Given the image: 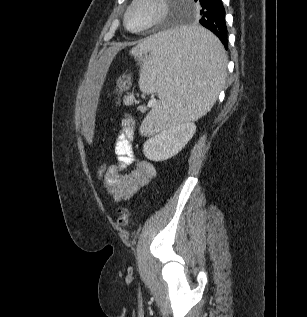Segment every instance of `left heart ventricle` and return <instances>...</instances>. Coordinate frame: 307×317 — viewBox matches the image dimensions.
Wrapping results in <instances>:
<instances>
[{"instance_id":"left-heart-ventricle-1","label":"left heart ventricle","mask_w":307,"mask_h":317,"mask_svg":"<svg viewBox=\"0 0 307 317\" xmlns=\"http://www.w3.org/2000/svg\"><path fill=\"white\" fill-rule=\"evenodd\" d=\"M153 15V7L149 4H140L132 12L129 23L133 28L139 27L147 22Z\"/></svg>"}]
</instances>
